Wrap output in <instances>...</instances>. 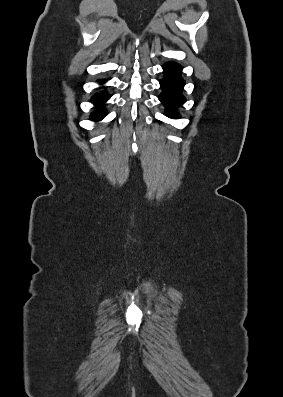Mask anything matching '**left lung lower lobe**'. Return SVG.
<instances>
[{
    "mask_svg": "<svg viewBox=\"0 0 283 397\" xmlns=\"http://www.w3.org/2000/svg\"><path fill=\"white\" fill-rule=\"evenodd\" d=\"M165 77L160 81L162 93L159 100L166 108L165 115L170 118H179L177 108L182 105L186 99L182 95L184 81L181 78L182 66L169 62L163 65Z\"/></svg>",
    "mask_w": 283,
    "mask_h": 397,
    "instance_id": "1",
    "label": "left lung lower lobe"
}]
</instances>
